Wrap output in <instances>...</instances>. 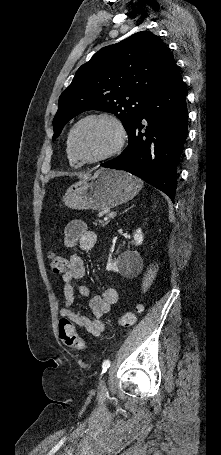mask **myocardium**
I'll use <instances>...</instances> for the list:
<instances>
[{"label":"myocardium","mask_w":221,"mask_h":455,"mask_svg":"<svg viewBox=\"0 0 221 455\" xmlns=\"http://www.w3.org/2000/svg\"><path fill=\"white\" fill-rule=\"evenodd\" d=\"M92 120H101V121H105V122L109 123L115 130L116 142L110 150H108L106 153H104L102 155H99L94 158H83L78 154V152L75 148L76 133L81 125H83L84 123H86L88 121H92ZM125 143H126V130H125L124 124L117 116H115L114 114L109 113V112H95V113H91V114L83 116L73 125V127L70 131V134H69V138H68V145H69V150L71 152V155L79 163H83V164L97 163V162L104 161L108 158H111L123 149Z\"/></svg>","instance_id":"obj_1"}]
</instances>
